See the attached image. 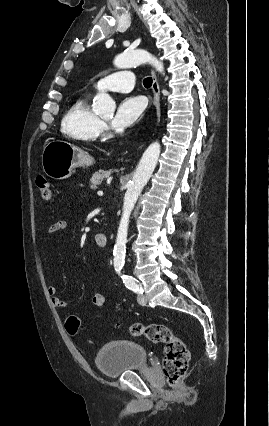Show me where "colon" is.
Returning a JSON list of instances; mask_svg holds the SVG:
<instances>
[{
  "instance_id": "obj_1",
  "label": "colon",
  "mask_w": 269,
  "mask_h": 426,
  "mask_svg": "<svg viewBox=\"0 0 269 426\" xmlns=\"http://www.w3.org/2000/svg\"><path fill=\"white\" fill-rule=\"evenodd\" d=\"M36 184L41 197L46 201H51L53 190L49 180L43 175H38ZM66 327L71 335H75L80 327L79 318L76 315H70L67 318ZM128 331L133 336H142L153 343L164 344L163 372L168 385L175 388L187 373L190 361V354L184 341L164 324L135 323L129 326Z\"/></svg>"
}]
</instances>
